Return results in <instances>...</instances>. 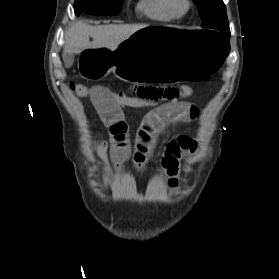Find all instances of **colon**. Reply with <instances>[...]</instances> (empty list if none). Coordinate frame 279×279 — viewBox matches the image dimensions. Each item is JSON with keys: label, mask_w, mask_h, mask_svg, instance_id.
<instances>
[{"label": "colon", "mask_w": 279, "mask_h": 279, "mask_svg": "<svg viewBox=\"0 0 279 279\" xmlns=\"http://www.w3.org/2000/svg\"><path fill=\"white\" fill-rule=\"evenodd\" d=\"M71 90L81 96L88 98L90 95L91 88L90 86H85L79 83H70ZM193 93V89L189 85H183L179 87H172L166 98L169 101H179L190 96ZM112 100L125 108L133 109H143L146 107L154 106L159 103V99L152 96H141V95H126L122 92H111Z\"/></svg>", "instance_id": "1"}]
</instances>
